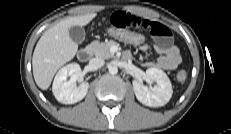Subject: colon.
I'll list each match as a JSON object with an SVG mask.
<instances>
[{
  "instance_id": "5ec220e1",
  "label": "colon",
  "mask_w": 231,
  "mask_h": 134,
  "mask_svg": "<svg viewBox=\"0 0 231 134\" xmlns=\"http://www.w3.org/2000/svg\"><path fill=\"white\" fill-rule=\"evenodd\" d=\"M106 32L114 39L128 45L141 47L148 44L147 37L137 31L109 27ZM176 78L179 82H184L187 78V74L184 70H180Z\"/></svg>"
}]
</instances>
